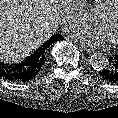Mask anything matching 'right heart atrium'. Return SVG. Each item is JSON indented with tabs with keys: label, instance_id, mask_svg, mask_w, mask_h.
<instances>
[{
	"label": "right heart atrium",
	"instance_id": "obj_1",
	"mask_svg": "<svg viewBox=\"0 0 118 118\" xmlns=\"http://www.w3.org/2000/svg\"><path fill=\"white\" fill-rule=\"evenodd\" d=\"M88 18L86 0H65L61 20L66 29H72Z\"/></svg>",
	"mask_w": 118,
	"mask_h": 118
}]
</instances>
